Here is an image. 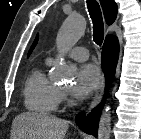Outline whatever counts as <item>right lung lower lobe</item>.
<instances>
[{
	"label": "right lung lower lobe",
	"mask_w": 141,
	"mask_h": 139,
	"mask_svg": "<svg viewBox=\"0 0 141 139\" xmlns=\"http://www.w3.org/2000/svg\"><path fill=\"white\" fill-rule=\"evenodd\" d=\"M119 56V43L115 36H107L102 49V68L106 76V89L113 80ZM103 103L97 106L86 118L84 113L76 116V123L86 132L97 137V129Z\"/></svg>",
	"instance_id": "1"
}]
</instances>
